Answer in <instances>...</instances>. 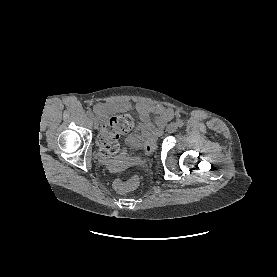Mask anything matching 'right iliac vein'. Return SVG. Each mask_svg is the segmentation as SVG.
Instances as JSON below:
<instances>
[{
	"instance_id": "1",
	"label": "right iliac vein",
	"mask_w": 277,
	"mask_h": 277,
	"mask_svg": "<svg viewBox=\"0 0 277 277\" xmlns=\"http://www.w3.org/2000/svg\"><path fill=\"white\" fill-rule=\"evenodd\" d=\"M93 125H94V128L97 129L99 124H98V121L96 118H93Z\"/></svg>"
}]
</instances>
